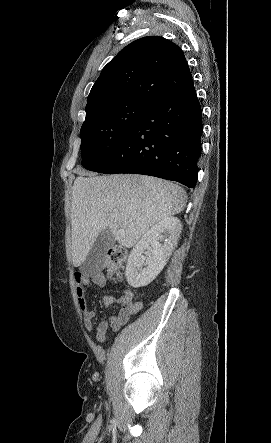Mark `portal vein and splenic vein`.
I'll return each instance as SVG.
<instances>
[{
  "label": "portal vein and splenic vein",
  "mask_w": 271,
  "mask_h": 443,
  "mask_svg": "<svg viewBox=\"0 0 271 443\" xmlns=\"http://www.w3.org/2000/svg\"><path fill=\"white\" fill-rule=\"evenodd\" d=\"M112 220H115V216H112Z\"/></svg>",
  "instance_id": "obj_1"
}]
</instances>
